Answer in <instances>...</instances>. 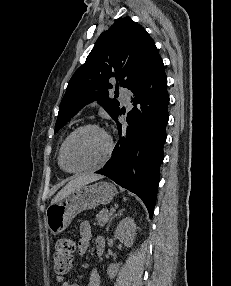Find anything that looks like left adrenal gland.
<instances>
[{
  "instance_id": "obj_1",
  "label": "left adrenal gland",
  "mask_w": 231,
  "mask_h": 286,
  "mask_svg": "<svg viewBox=\"0 0 231 286\" xmlns=\"http://www.w3.org/2000/svg\"><path fill=\"white\" fill-rule=\"evenodd\" d=\"M125 209H121V210H119L111 219H110V221H109V224H108V226H107V229H106V231H108L109 230V227H110V223H111V221H112V219H114L115 217H117V216H120V215H122V213H123V211H124Z\"/></svg>"
}]
</instances>
